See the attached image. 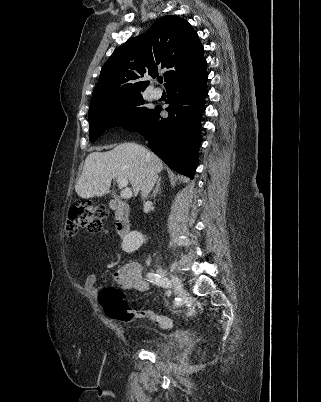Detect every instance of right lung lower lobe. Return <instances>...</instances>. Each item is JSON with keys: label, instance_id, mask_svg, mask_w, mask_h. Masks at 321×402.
Segmentation results:
<instances>
[{"label": "right lung lower lobe", "instance_id": "obj_1", "mask_svg": "<svg viewBox=\"0 0 321 402\" xmlns=\"http://www.w3.org/2000/svg\"><path fill=\"white\" fill-rule=\"evenodd\" d=\"M207 79L206 64L177 77L166 86L168 118L160 117L161 107L157 106L136 125L126 128L145 136L154 153L190 179L197 167Z\"/></svg>", "mask_w": 321, "mask_h": 402}]
</instances>
